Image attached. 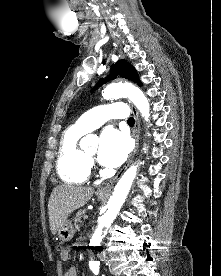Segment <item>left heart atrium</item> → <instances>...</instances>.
I'll use <instances>...</instances> for the list:
<instances>
[{"label":"left heart atrium","instance_id":"39dd6f15","mask_svg":"<svg viewBox=\"0 0 221 276\" xmlns=\"http://www.w3.org/2000/svg\"><path fill=\"white\" fill-rule=\"evenodd\" d=\"M130 150L128 137L114 128L105 129L100 137L99 161L107 167H117L124 162Z\"/></svg>","mask_w":221,"mask_h":276}]
</instances>
